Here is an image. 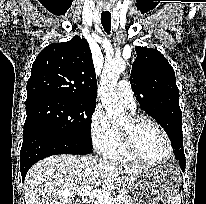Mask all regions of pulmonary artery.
Segmentation results:
<instances>
[{
  "label": "pulmonary artery",
  "instance_id": "e3ab8cb5",
  "mask_svg": "<svg viewBox=\"0 0 206 204\" xmlns=\"http://www.w3.org/2000/svg\"><path fill=\"white\" fill-rule=\"evenodd\" d=\"M117 95L121 101L134 110L136 108L134 93L130 83L126 80H121L117 85Z\"/></svg>",
  "mask_w": 206,
  "mask_h": 204
}]
</instances>
